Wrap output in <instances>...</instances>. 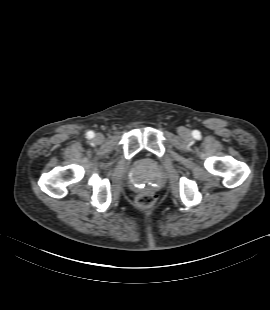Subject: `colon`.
<instances>
[{"mask_svg": "<svg viewBox=\"0 0 270 310\" xmlns=\"http://www.w3.org/2000/svg\"><path fill=\"white\" fill-rule=\"evenodd\" d=\"M155 201V195L151 191H145L139 194L135 200L136 205L140 208H147Z\"/></svg>", "mask_w": 270, "mask_h": 310, "instance_id": "colon-1", "label": "colon"}]
</instances>
